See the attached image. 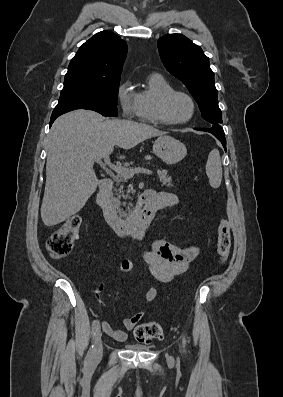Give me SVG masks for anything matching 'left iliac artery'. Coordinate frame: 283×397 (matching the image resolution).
I'll return each instance as SVG.
<instances>
[{
  "label": "left iliac artery",
  "instance_id": "left-iliac-artery-1",
  "mask_svg": "<svg viewBox=\"0 0 283 397\" xmlns=\"http://www.w3.org/2000/svg\"><path fill=\"white\" fill-rule=\"evenodd\" d=\"M182 343H183V347L185 348V345H186V339H185V337L183 336V339H182Z\"/></svg>",
  "mask_w": 283,
  "mask_h": 397
}]
</instances>
